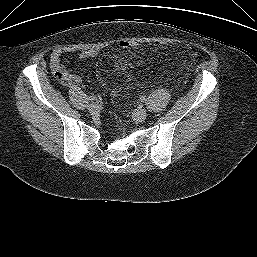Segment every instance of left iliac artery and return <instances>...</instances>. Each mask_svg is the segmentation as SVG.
I'll return each instance as SVG.
<instances>
[{"instance_id": "44dca946", "label": "left iliac artery", "mask_w": 257, "mask_h": 257, "mask_svg": "<svg viewBox=\"0 0 257 257\" xmlns=\"http://www.w3.org/2000/svg\"><path fill=\"white\" fill-rule=\"evenodd\" d=\"M140 99H141L142 102L146 101V97L145 96H142Z\"/></svg>"}]
</instances>
